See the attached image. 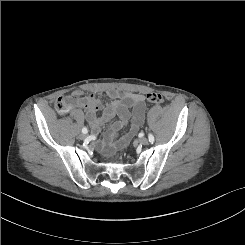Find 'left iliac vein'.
Masks as SVG:
<instances>
[{
	"instance_id": "left-iliac-vein-1",
	"label": "left iliac vein",
	"mask_w": 245,
	"mask_h": 245,
	"mask_svg": "<svg viewBox=\"0 0 245 245\" xmlns=\"http://www.w3.org/2000/svg\"><path fill=\"white\" fill-rule=\"evenodd\" d=\"M139 142L143 145H147L149 143V140L146 137H143L139 140Z\"/></svg>"
}]
</instances>
